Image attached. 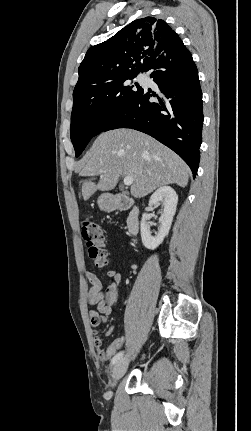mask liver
Returning a JSON list of instances; mask_svg holds the SVG:
<instances>
[{"label": "liver", "instance_id": "6515ba94", "mask_svg": "<svg viewBox=\"0 0 251 431\" xmlns=\"http://www.w3.org/2000/svg\"><path fill=\"white\" fill-rule=\"evenodd\" d=\"M190 169L172 150L132 129L101 133L82 161L80 176H100L97 184L84 181L82 197L114 189L120 177L132 176L131 195L142 198L167 184L185 187Z\"/></svg>", "mask_w": 251, "mask_h": 431}]
</instances>
